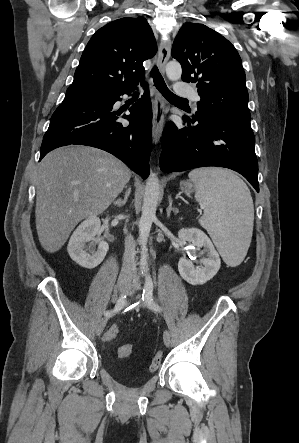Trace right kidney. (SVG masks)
I'll return each instance as SVG.
<instances>
[{"label":"right kidney","instance_id":"ca27d5eb","mask_svg":"<svg viewBox=\"0 0 299 443\" xmlns=\"http://www.w3.org/2000/svg\"><path fill=\"white\" fill-rule=\"evenodd\" d=\"M100 227V219L97 216H91L84 220L70 237L67 246L68 253L73 261L84 268L93 269L98 266L109 249L106 241L95 238L100 232ZM96 245H98L97 249Z\"/></svg>","mask_w":299,"mask_h":443}]
</instances>
